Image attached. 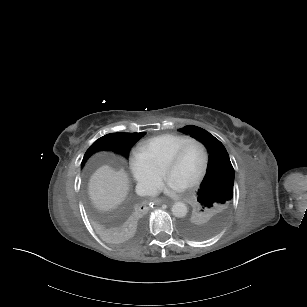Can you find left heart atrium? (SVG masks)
<instances>
[{"mask_svg": "<svg viewBox=\"0 0 307 307\" xmlns=\"http://www.w3.org/2000/svg\"><path fill=\"white\" fill-rule=\"evenodd\" d=\"M187 185L178 181L172 176H166L163 180L152 185L153 192H163L169 196L182 193L186 190Z\"/></svg>", "mask_w": 307, "mask_h": 307, "instance_id": "left-heart-atrium-1", "label": "left heart atrium"}]
</instances>
